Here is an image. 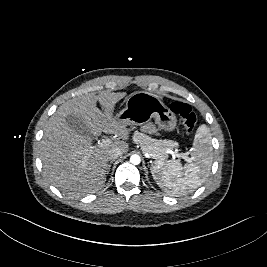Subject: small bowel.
<instances>
[{
    "instance_id": "c3829d8e",
    "label": "small bowel",
    "mask_w": 267,
    "mask_h": 267,
    "mask_svg": "<svg viewBox=\"0 0 267 267\" xmlns=\"http://www.w3.org/2000/svg\"><path fill=\"white\" fill-rule=\"evenodd\" d=\"M147 130L150 131V132H154V128L151 125H148L147 126Z\"/></svg>"
}]
</instances>
